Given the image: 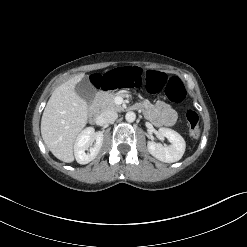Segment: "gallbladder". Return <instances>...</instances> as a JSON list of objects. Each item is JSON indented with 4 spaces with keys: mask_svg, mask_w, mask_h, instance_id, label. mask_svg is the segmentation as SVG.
<instances>
[{
    "mask_svg": "<svg viewBox=\"0 0 247 247\" xmlns=\"http://www.w3.org/2000/svg\"><path fill=\"white\" fill-rule=\"evenodd\" d=\"M75 91L88 103L92 102L97 93L96 88L92 85L88 76H85L79 83L76 84Z\"/></svg>",
    "mask_w": 247,
    "mask_h": 247,
    "instance_id": "1",
    "label": "gallbladder"
}]
</instances>
